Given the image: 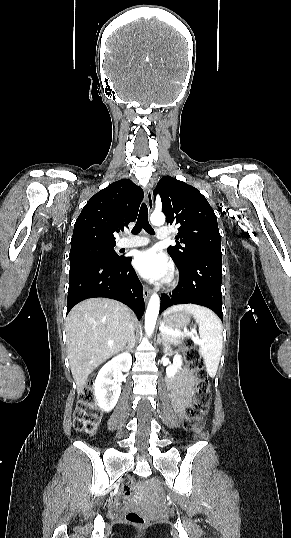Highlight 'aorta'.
Masks as SVG:
<instances>
[{
    "label": "aorta",
    "instance_id": "obj_1",
    "mask_svg": "<svg viewBox=\"0 0 291 538\" xmlns=\"http://www.w3.org/2000/svg\"><path fill=\"white\" fill-rule=\"evenodd\" d=\"M151 223L154 225H162L165 222V216L162 212H154L150 217ZM160 308V298L154 293L150 297L146 314H145V332L151 336L154 332L157 316Z\"/></svg>",
    "mask_w": 291,
    "mask_h": 538
}]
</instances>
